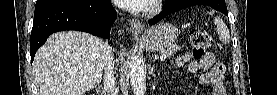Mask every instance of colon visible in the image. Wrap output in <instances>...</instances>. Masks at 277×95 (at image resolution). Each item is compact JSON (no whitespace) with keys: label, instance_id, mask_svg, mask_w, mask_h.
Segmentation results:
<instances>
[{"label":"colon","instance_id":"5ec220e1","mask_svg":"<svg viewBox=\"0 0 277 95\" xmlns=\"http://www.w3.org/2000/svg\"><path fill=\"white\" fill-rule=\"evenodd\" d=\"M191 49L196 58H201L212 44V37L203 28L190 31Z\"/></svg>","mask_w":277,"mask_h":95}]
</instances>
